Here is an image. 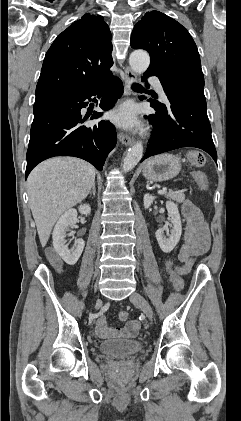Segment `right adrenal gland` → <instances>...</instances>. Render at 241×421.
Listing matches in <instances>:
<instances>
[{
	"label": "right adrenal gland",
	"instance_id": "right-adrenal-gland-1",
	"mask_svg": "<svg viewBox=\"0 0 241 421\" xmlns=\"http://www.w3.org/2000/svg\"><path fill=\"white\" fill-rule=\"evenodd\" d=\"M93 194V196L95 197L96 194V188H95V183L92 186V190L89 192V195L91 196Z\"/></svg>",
	"mask_w": 241,
	"mask_h": 421
}]
</instances>
